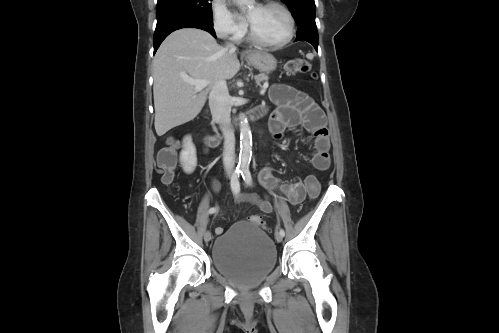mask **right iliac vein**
<instances>
[{
    "mask_svg": "<svg viewBox=\"0 0 499 333\" xmlns=\"http://www.w3.org/2000/svg\"><path fill=\"white\" fill-rule=\"evenodd\" d=\"M204 240L205 242H209L211 240V233L209 231L204 233Z\"/></svg>",
    "mask_w": 499,
    "mask_h": 333,
    "instance_id": "1",
    "label": "right iliac vein"
}]
</instances>
